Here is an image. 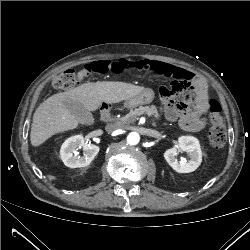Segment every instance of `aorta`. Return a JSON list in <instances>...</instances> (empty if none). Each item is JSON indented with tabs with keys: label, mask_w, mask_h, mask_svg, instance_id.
<instances>
[{
	"label": "aorta",
	"mask_w": 250,
	"mask_h": 250,
	"mask_svg": "<svg viewBox=\"0 0 250 250\" xmlns=\"http://www.w3.org/2000/svg\"><path fill=\"white\" fill-rule=\"evenodd\" d=\"M140 140V136L137 132H131L128 136H127V142L130 145H136L138 144Z\"/></svg>",
	"instance_id": "1"
}]
</instances>
